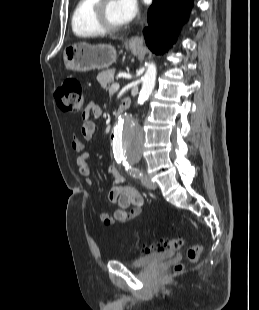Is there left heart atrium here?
<instances>
[{"instance_id": "left-heart-atrium-1", "label": "left heart atrium", "mask_w": 259, "mask_h": 310, "mask_svg": "<svg viewBox=\"0 0 259 310\" xmlns=\"http://www.w3.org/2000/svg\"><path fill=\"white\" fill-rule=\"evenodd\" d=\"M117 3L123 22L132 21L138 12L137 0H117Z\"/></svg>"}]
</instances>
